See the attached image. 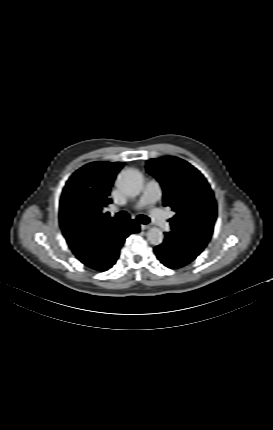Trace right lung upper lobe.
<instances>
[{
  "label": "right lung upper lobe",
  "instance_id": "1",
  "mask_svg": "<svg viewBox=\"0 0 273 430\" xmlns=\"http://www.w3.org/2000/svg\"><path fill=\"white\" fill-rule=\"evenodd\" d=\"M122 162H92L77 170L67 181L60 199L59 218L62 232L76 257L90 255L87 245L102 230L114 229L116 223L104 207Z\"/></svg>",
  "mask_w": 273,
  "mask_h": 430
}]
</instances>
